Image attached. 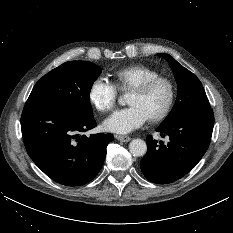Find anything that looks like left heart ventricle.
<instances>
[{"mask_svg":"<svg viewBox=\"0 0 233 233\" xmlns=\"http://www.w3.org/2000/svg\"><path fill=\"white\" fill-rule=\"evenodd\" d=\"M169 90L166 84L160 83L146 94L130 92L127 104L138 106L148 117L157 115L162 111L168 100Z\"/></svg>","mask_w":233,"mask_h":233,"instance_id":"1","label":"left heart ventricle"}]
</instances>
